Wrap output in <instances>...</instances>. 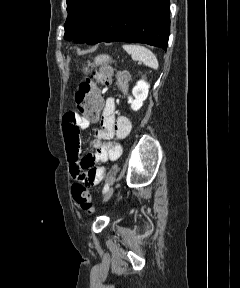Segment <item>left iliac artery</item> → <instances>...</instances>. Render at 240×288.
<instances>
[{
    "mask_svg": "<svg viewBox=\"0 0 240 288\" xmlns=\"http://www.w3.org/2000/svg\"><path fill=\"white\" fill-rule=\"evenodd\" d=\"M108 190H109V185L105 184V186L103 188V194H105Z\"/></svg>",
    "mask_w": 240,
    "mask_h": 288,
    "instance_id": "obj_1",
    "label": "left iliac artery"
}]
</instances>
